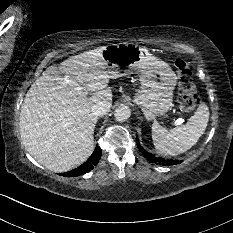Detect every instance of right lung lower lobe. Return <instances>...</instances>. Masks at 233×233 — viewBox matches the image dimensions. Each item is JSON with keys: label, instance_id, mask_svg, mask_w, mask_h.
I'll use <instances>...</instances> for the list:
<instances>
[{"label": "right lung lower lobe", "instance_id": "right-lung-lower-lobe-1", "mask_svg": "<svg viewBox=\"0 0 233 233\" xmlns=\"http://www.w3.org/2000/svg\"><path fill=\"white\" fill-rule=\"evenodd\" d=\"M101 153H102L101 148L99 146H96L93 154L84 164H82L81 166H79L78 168L72 171L62 173L61 175L66 177H75L89 172L94 168V166L98 164L101 158Z\"/></svg>", "mask_w": 233, "mask_h": 233}]
</instances>
